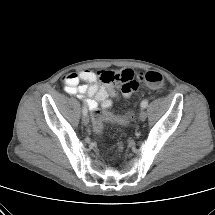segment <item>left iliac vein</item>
<instances>
[{"label": "left iliac vein", "mask_w": 215, "mask_h": 215, "mask_svg": "<svg viewBox=\"0 0 215 215\" xmlns=\"http://www.w3.org/2000/svg\"><path fill=\"white\" fill-rule=\"evenodd\" d=\"M140 120L143 122V121H145V119H146V117H147V113H146V111L144 110V109H142L141 110V112H140Z\"/></svg>", "instance_id": "1"}]
</instances>
